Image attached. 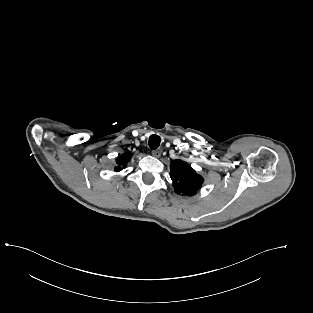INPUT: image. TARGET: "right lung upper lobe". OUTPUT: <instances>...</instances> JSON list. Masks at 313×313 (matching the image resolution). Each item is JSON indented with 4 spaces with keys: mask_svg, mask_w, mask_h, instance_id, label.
Listing matches in <instances>:
<instances>
[{
    "mask_svg": "<svg viewBox=\"0 0 313 313\" xmlns=\"http://www.w3.org/2000/svg\"><path fill=\"white\" fill-rule=\"evenodd\" d=\"M129 161H130V154L124 153L123 155L119 156L116 161L118 166L115 168V171L116 172L121 171L123 168L126 167Z\"/></svg>",
    "mask_w": 313,
    "mask_h": 313,
    "instance_id": "cb5924a9",
    "label": "right lung upper lobe"
}]
</instances>
